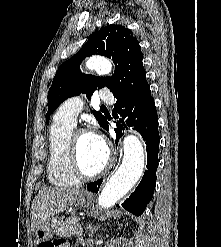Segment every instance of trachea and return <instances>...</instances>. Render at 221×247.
I'll return each mask as SVG.
<instances>
[{"mask_svg":"<svg viewBox=\"0 0 221 247\" xmlns=\"http://www.w3.org/2000/svg\"><path fill=\"white\" fill-rule=\"evenodd\" d=\"M101 109H107L105 105H101Z\"/></svg>","mask_w":221,"mask_h":247,"instance_id":"1","label":"trachea"}]
</instances>
